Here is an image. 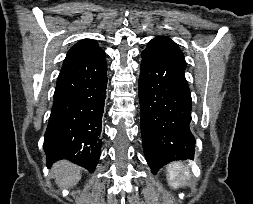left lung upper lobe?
Returning <instances> with one entry per match:
<instances>
[{
    "mask_svg": "<svg viewBox=\"0 0 253 204\" xmlns=\"http://www.w3.org/2000/svg\"><path fill=\"white\" fill-rule=\"evenodd\" d=\"M148 46H159L165 50L176 54L178 57L185 61L184 55L178 45L167 37H156L148 43Z\"/></svg>",
    "mask_w": 253,
    "mask_h": 204,
    "instance_id": "obj_1",
    "label": "left lung upper lobe"
}]
</instances>
